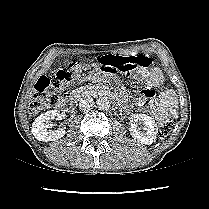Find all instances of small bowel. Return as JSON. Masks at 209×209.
I'll use <instances>...</instances> for the list:
<instances>
[{
  "mask_svg": "<svg viewBox=\"0 0 209 209\" xmlns=\"http://www.w3.org/2000/svg\"><path fill=\"white\" fill-rule=\"evenodd\" d=\"M136 73L146 82V87L142 90L143 99L138 101L136 106L143 112L153 115L161 123L169 114L176 112V95L172 90H163L156 95L155 90L162 89L164 85V75L159 68H150L149 65L139 66ZM87 79L89 75L83 80ZM93 79L106 81L108 72L98 71L93 75ZM116 97L125 103L123 95L116 94Z\"/></svg>",
  "mask_w": 209,
  "mask_h": 209,
  "instance_id": "obj_1",
  "label": "small bowel"
}]
</instances>
